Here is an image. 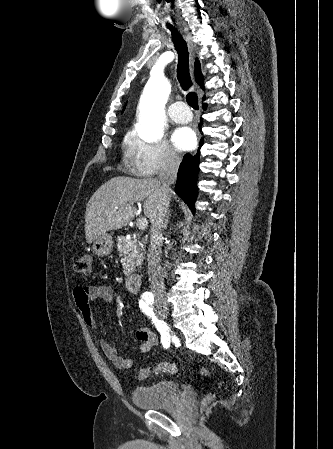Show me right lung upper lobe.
<instances>
[{"label": "right lung upper lobe", "instance_id": "right-lung-upper-lobe-1", "mask_svg": "<svg viewBox=\"0 0 333 449\" xmlns=\"http://www.w3.org/2000/svg\"><path fill=\"white\" fill-rule=\"evenodd\" d=\"M195 78H196V82L201 86L202 89H204V84H203L204 78L201 73L200 63L197 59L195 62Z\"/></svg>", "mask_w": 333, "mask_h": 449}]
</instances>
